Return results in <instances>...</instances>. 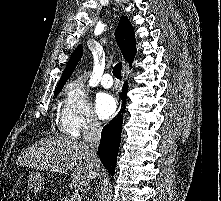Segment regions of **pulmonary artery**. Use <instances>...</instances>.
I'll return each instance as SVG.
<instances>
[{"label": "pulmonary artery", "instance_id": "pulmonary-artery-1", "mask_svg": "<svg viewBox=\"0 0 221 201\" xmlns=\"http://www.w3.org/2000/svg\"><path fill=\"white\" fill-rule=\"evenodd\" d=\"M100 83L104 88H110L113 85V78H112L111 74L105 73L101 77Z\"/></svg>", "mask_w": 221, "mask_h": 201}]
</instances>
